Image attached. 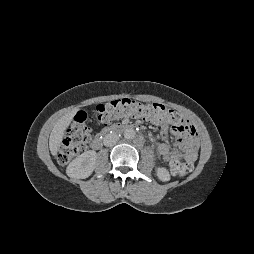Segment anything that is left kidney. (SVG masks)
<instances>
[{"instance_id":"left-kidney-1","label":"left kidney","mask_w":254,"mask_h":254,"mask_svg":"<svg viewBox=\"0 0 254 254\" xmlns=\"http://www.w3.org/2000/svg\"><path fill=\"white\" fill-rule=\"evenodd\" d=\"M157 177L163 181V182H167L170 180V174H169V171L164 168V167H159L157 169Z\"/></svg>"}]
</instances>
